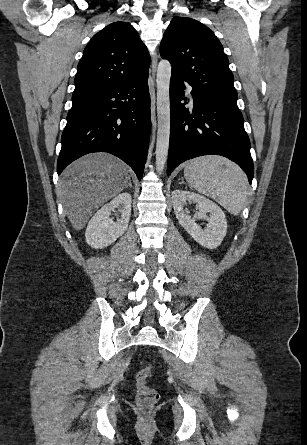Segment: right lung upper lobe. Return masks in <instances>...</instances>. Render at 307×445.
I'll return each instance as SVG.
<instances>
[{
    "mask_svg": "<svg viewBox=\"0 0 307 445\" xmlns=\"http://www.w3.org/2000/svg\"><path fill=\"white\" fill-rule=\"evenodd\" d=\"M150 56L128 22H114L95 34L78 64L73 96L126 83L149 70Z\"/></svg>",
    "mask_w": 307,
    "mask_h": 445,
    "instance_id": "1",
    "label": "right lung upper lobe"
}]
</instances>
